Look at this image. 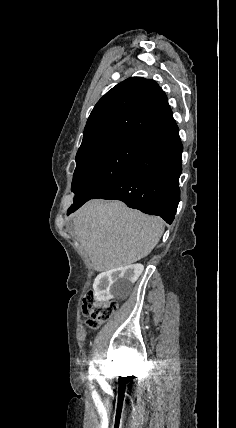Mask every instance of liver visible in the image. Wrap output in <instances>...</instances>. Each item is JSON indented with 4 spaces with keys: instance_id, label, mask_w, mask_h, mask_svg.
Returning a JSON list of instances; mask_svg holds the SVG:
<instances>
[{
    "instance_id": "liver-1",
    "label": "liver",
    "mask_w": 236,
    "mask_h": 428,
    "mask_svg": "<svg viewBox=\"0 0 236 428\" xmlns=\"http://www.w3.org/2000/svg\"><path fill=\"white\" fill-rule=\"evenodd\" d=\"M72 218L75 234L97 272L146 258L164 230L159 216L130 210L118 200H90Z\"/></svg>"
}]
</instances>
